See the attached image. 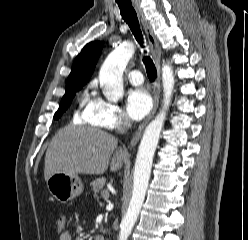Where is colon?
Masks as SVG:
<instances>
[{
  "label": "colon",
  "instance_id": "5ec220e1",
  "mask_svg": "<svg viewBox=\"0 0 248 240\" xmlns=\"http://www.w3.org/2000/svg\"><path fill=\"white\" fill-rule=\"evenodd\" d=\"M67 218L65 215L61 214L56 219V230L58 233H63L66 231Z\"/></svg>",
  "mask_w": 248,
  "mask_h": 240
}]
</instances>
